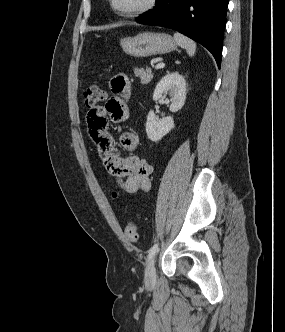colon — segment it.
I'll use <instances>...</instances> for the list:
<instances>
[{"instance_id": "1", "label": "colon", "mask_w": 285, "mask_h": 332, "mask_svg": "<svg viewBox=\"0 0 285 332\" xmlns=\"http://www.w3.org/2000/svg\"><path fill=\"white\" fill-rule=\"evenodd\" d=\"M105 99V91L99 85L93 84L84 90V100L88 108L94 109ZM113 197H117L118 193L114 191ZM125 235L131 242H136L139 237L138 226L134 222H129L125 227Z\"/></svg>"}]
</instances>
